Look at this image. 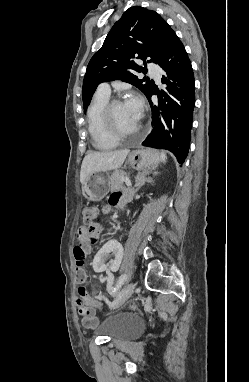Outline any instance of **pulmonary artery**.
<instances>
[{"mask_svg":"<svg viewBox=\"0 0 249 382\" xmlns=\"http://www.w3.org/2000/svg\"><path fill=\"white\" fill-rule=\"evenodd\" d=\"M147 67L151 73V75L158 81L160 82V72H159V69L157 68V66L149 63L147 64ZM98 92H101V93H105V94H109L110 95V87L107 83H102L100 84V86L98 87Z\"/></svg>","mask_w":249,"mask_h":382,"instance_id":"obj_1","label":"pulmonary artery"}]
</instances>
